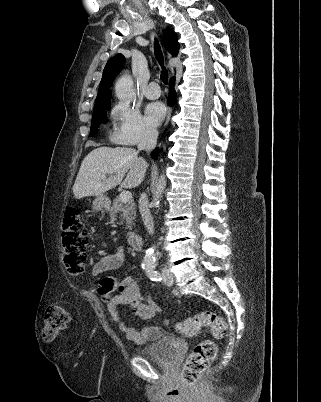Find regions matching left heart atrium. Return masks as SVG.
Instances as JSON below:
<instances>
[{
	"mask_svg": "<svg viewBox=\"0 0 321 402\" xmlns=\"http://www.w3.org/2000/svg\"><path fill=\"white\" fill-rule=\"evenodd\" d=\"M146 120L151 126H157L166 115V108L161 102H153L147 105L145 110Z\"/></svg>",
	"mask_w": 321,
	"mask_h": 402,
	"instance_id": "left-heart-atrium-1",
	"label": "left heart atrium"
}]
</instances>
